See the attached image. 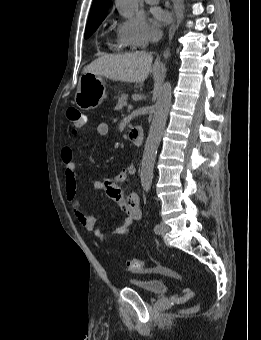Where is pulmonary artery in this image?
<instances>
[{
    "instance_id": "pulmonary-artery-1",
    "label": "pulmonary artery",
    "mask_w": 261,
    "mask_h": 340,
    "mask_svg": "<svg viewBox=\"0 0 261 340\" xmlns=\"http://www.w3.org/2000/svg\"><path fill=\"white\" fill-rule=\"evenodd\" d=\"M149 4H155L158 2V0H145Z\"/></svg>"
}]
</instances>
